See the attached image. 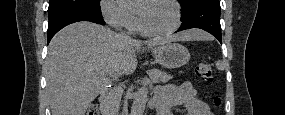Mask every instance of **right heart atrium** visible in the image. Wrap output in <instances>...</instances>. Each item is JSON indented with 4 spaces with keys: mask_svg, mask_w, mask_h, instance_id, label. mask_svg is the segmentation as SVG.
Returning <instances> with one entry per match:
<instances>
[{
    "mask_svg": "<svg viewBox=\"0 0 285 115\" xmlns=\"http://www.w3.org/2000/svg\"><path fill=\"white\" fill-rule=\"evenodd\" d=\"M101 12L106 22L113 27L133 31L137 26L133 13L117 0L101 1Z\"/></svg>",
    "mask_w": 285,
    "mask_h": 115,
    "instance_id": "1",
    "label": "right heart atrium"
}]
</instances>
